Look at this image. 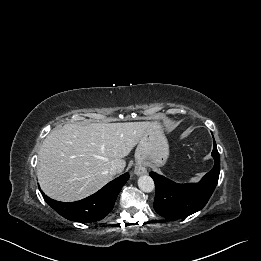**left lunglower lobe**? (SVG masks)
I'll use <instances>...</instances> for the list:
<instances>
[{"instance_id": "0a47b994", "label": "left lung lower lobe", "mask_w": 261, "mask_h": 261, "mask_svg": "<svg viewBox=\"0 0 261 261\" xmlns=\"http://www.w3.org/2000/svg\"><path fill=\"white\" fill-rule=\"evenodd\" d=\"M212 156L214 167L199 183L177 184L155 172L150 176L155 182L154 209L162 217L178 219L201 210L211 197L219 178L220 157L214 141Z\"/></svg>"}]
</instances>
